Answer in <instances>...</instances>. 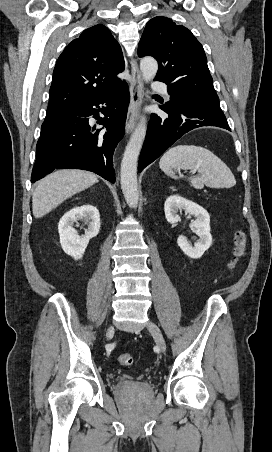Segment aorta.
<instances>
[{"instance_id": "obj_1", "label": "aorta", "mask_w": 272, "mask_h": 452, "mask_svg": "<svg viewBox=\"0 0 272 452\" xmlns=\"http://www.w3.org/2000/svg\"><path fill=\"white\" fill-rule=\"evenodd\" d=\"M140 70L144 81H151L158 70L157 61L152 57H144L140 61ZM146 118L141 117L125 148L121 162V189L127 204L136 207L139 200L137 183V163L142 144L146 136Z\"/></svg>"}]
</instances>
